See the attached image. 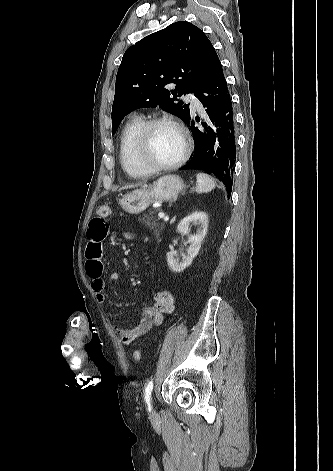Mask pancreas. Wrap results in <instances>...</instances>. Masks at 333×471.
<instances>
[{"instance_id":"obj_1","label":"pancreas","mask_w":333,"mask_h":471,"mask_svg":"<svg viewBox=\"0 0 333 471\" xmlns=\"http://www.w3.org/2000/svg\"><path fill=\"white\" fill-rule=\"evenodd\" d=\"M153 213L151 212L149 215H144L142 218L143 222L156 234L164 229V224H161L157 221L155 217H153Z\"/></svg>"}]
</instances>
